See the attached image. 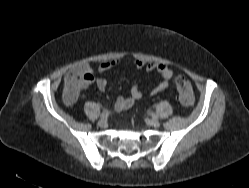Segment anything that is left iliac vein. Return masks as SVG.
Here are the masks:
<instances>
[{"label": "left iliac vein", "mask_w": 249, "mask_h": 188, "mask_svg": "<svg viewBox=\"0 0 249 188\" xmlns=\"http://www.w3.org/2000/svg\"><path fill=\"white\" fill-rule=\"evenodd\" d=\"M146 123L150 126L153 127H159L160 126V122L157 118H152V119H147Z\"/></svg>", "instance_id": "obj_1"}]
</instances>
